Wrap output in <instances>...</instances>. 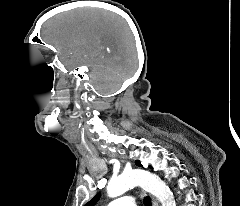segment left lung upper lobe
Returning <instances> with one entry per match:
<instances>
[{
	"instance_id": "left-lung-upper-lobe-1",
	"label": "left lung upper lobe",
	"mask_w": 240,
	"mask_h": 206,
	"mask_svg": "<svg viewBox=\"0 0 240 206\" xmlns=\"http://www.w3.org/2000/svg\"><path fill=\"white\" fill-rule=\"evenodd\" d=\"M135 163H136V165L142 167L140 161H136ZM99 198H100V194H97V195H96L92 200H90L85 206H94V205L98 202Z\"/></svg>"
}]
</instances>
